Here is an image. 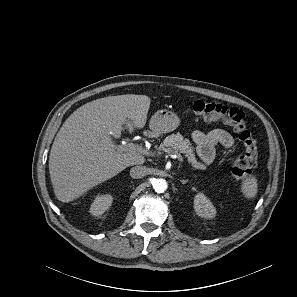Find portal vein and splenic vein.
<instances>
[{
    "label": "portal vein and splenic vein",
    "mask_w": 297,
    "mask_h": 297,
    "mask_svg": "<svg viewBox=\"0 0 297 297\" xmlns=\"http://www.w3.org/2000/svg\"><path fill=\"white\" fill-rule=\"evenodd\" d=\"M117 151L119 152H131V153H138L143 155L150 154L146 149L142 148V146L133 143H123L122 145L116 146ZM172 159H178L179 161L183 162V158L180 154L174 153L169 155Z\"/></svg>",
    "instance_id": "obj_1"
}]
</instances>
